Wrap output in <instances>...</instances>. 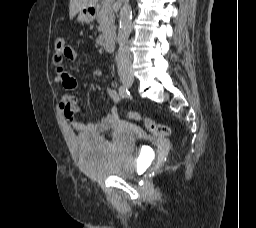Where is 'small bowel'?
<instances>
[{
  "instance_id": "1",
  "label": "small bowel",
  "mask_w": 256,
  "mask_h": 228,
  "mask_svg": "<svg viewBox=\"0 0 256 228\" xmlns=\"http://www.w3.org/2000/svg\"><path fill=\"white\" fill-rule=\"evenodd\" d=\"M78 57V53L74 46H68V49L64 56L59 57L53 56V66L55 70L54 82L57 84H62L63 87L69 91H73L77 88V80L67 73L64 68L63 61L64 59L69 61H74ZM96 76L101 75V70L96 69L94 71ZM107 92L112 98L115 104H118L120 101V96L117 93L114 83H109L107 85ZM59 107L64 116L71 122L73 128L79 132L85 133H96L102 132L108 129H116L121 127L122 120L118 113L117 106H114L110 113L102 117L96 122L84 123L80 120H77L76 114L79 112L80 108L77 105L76 99L72 95H65L61 98L59 102Z\"/></svg>"
}]
</instances>
